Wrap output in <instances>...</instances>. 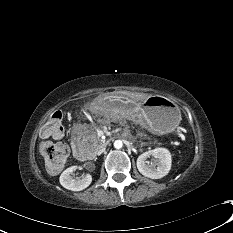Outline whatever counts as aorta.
I'll list each match as a JSON object with an SVG mask.
<instances>
[{
  "label": "aorta",
  "mask_w": 233,
  "mask_h": 233,
  "mask_svg": "<svg viewBox=\"0 0 233 233\" xmlns=\"http://www.w3.org/2000/svg\"><path fill=\"white\" fill-rule=\"evenodd\" d=\"M114 147H115L116 149L122 148V147H123V142H122L121 140H116V141L114 142Z\"/></svg>",
  "instance_id": "1"
}]
</instances>
